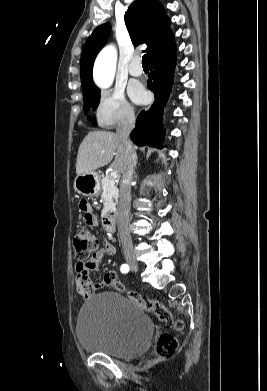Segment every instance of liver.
I'll return each mask as SVG.
<instances>
[{
  "instance_id": "1",
  "label": "liver",
  "mask_w": 267,
  "mask_h": 391,
  "mask_svg": "<svg viewBox=\"0 0 267 391\" xmlns=\"http://www.w3.org/2000/svg\"><path fill=\"white\" fill-rule=\"evenodd\" d=\"M114 156L111 168L116 172L124 173L127 168V156L117 134L108 131L89 132L78 149L77 176L108 165Z\"/></svg>"
}]
</instances>
